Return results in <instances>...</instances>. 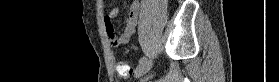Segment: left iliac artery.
Listing matches in <instances>:
<instances>
[{
    "mask_svg": "<svg viewBox=\"0 0 279 82\" xmlns=\"http://www.w3.org/2000/svg\"><path fill=\"white\" fill-rule=\"evenodd\" d=\"M145 61H146V58H145V57H142V58L139 60L140 63H143V62H145Z\"/></svg>",
    "mask_w": 279,
    "mask_h": 82,
    "instance_id": "1",
    "label": "left iliac artery"
}]
</instances>
